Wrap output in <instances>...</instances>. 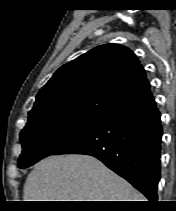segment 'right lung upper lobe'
<instances>
[{
	"label": "right lung upper lobe",
	"instance_id": "cb5924a9",
	"mask_svg": "<svg viewBox=\"0 0 176 211\" xmlns=\"http://www.w3.org/2000/svg\"><path fill=\"white\" fill-rule=\"evenodd\" d=\"M153 99L145 70L127 47H96L59 68L39 91L29 115L47 110L106 117Z\"/></svg>",
	"mask_w": 176,
	"mask_h": 211
}]
</instances>
